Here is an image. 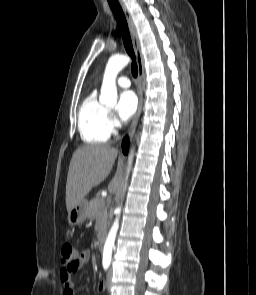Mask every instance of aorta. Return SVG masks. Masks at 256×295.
<instances>
[{"instance_id":"obj_1","label":"aorta","mask_w":256,"mask_h":295,"mask_svg":"<svg viewBox=\"0 0 256 295\" xmlns=\"http://www.w3.org/2000/svg\"><path fill=\"white\" fill-rule=\"evenodd\" d=\"M129 61H130V58L124 55L114 56L109 59L104 72L101 93L99 97V101L101 104H104L110 107H114L116 105L117 99H118L116 77H117V74L129 63ZM131 161H132V154L131 156H129V166L131 165ZM115 212L117 217L109 231V234L105 241L104 249H103V261L108 263L111 262L112 250L114 247L115 238L119 228V216L121 213V207L119 206Z\"/></svg>"}]
</instances>
